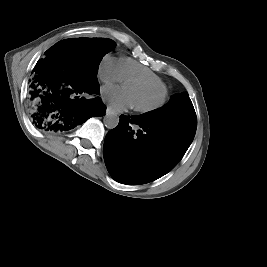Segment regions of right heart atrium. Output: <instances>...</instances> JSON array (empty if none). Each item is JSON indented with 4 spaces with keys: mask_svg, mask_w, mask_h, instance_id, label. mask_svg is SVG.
Wrapping results in <instances>:
<instances>
[{
    "mask_svg": "<svg viewBox=\"0 0 267 267\" xmlns=\"http://www.w3.org/2000/svg\"><path fill=\"white\" fill-rule=\"evenodd\" d=\"M99 78L106 84L118 83L123 80L120 60L105 55L98 68Z\"/></svg>",
    "mask_w": 267,
    "mask_h": 267,
    "instance_id": "1",
    "label": "right heart atrium"
}]
</instances>
